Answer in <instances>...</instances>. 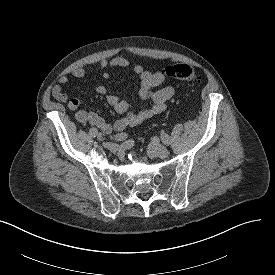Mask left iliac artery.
Wrapping results in <instances>:
<instances>
[{
    "label": "left iliac artery",
    "instance_id": "left-iliac-artery-1",
    "mask_svg": "<svg viewBox=\"0 0 275 275\" xmlns=\"http://www.w3.org/2000/svg\"><path fill=\"white\" fill-rule=\"evenodd\" d=\"M161 140L165 145H169L170 140H169V136L166 133H161Z\"/></svg>",
    "mask_w": 275,
    "mask_h": 275
}]
</instances>
